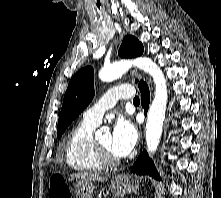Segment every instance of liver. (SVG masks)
<instances>
[{
    "mask_svg": "<svg viewBox=\"0 0 221 198\" xmlns=\"http://www.w3.org/2000/svg\"><path fill=\"white\" fill-rule=\"evenodd\" d=\"M73 178L83 180V181H98V182H104L107 178L100 176L98 174H92V173H75L72 174Z\"/></svg>",
    "mask_w": 221,
    "mask_h": 198,
    "instance_id": "obj_1",
    "label": "liver"
}]
</instances>
